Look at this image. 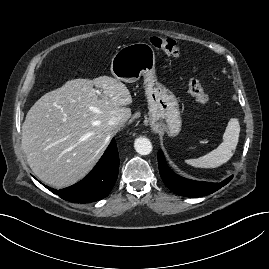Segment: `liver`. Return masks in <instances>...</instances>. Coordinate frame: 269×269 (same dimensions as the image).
I'll return each instance as SVG.
<instances>
[{
  "label": "liver",
  "mask_w": 269,
  "mask_h": 269,
  "mask_svg": "<svg viewBox=\"0 0 269 269\" xmlns=\"http://www.w3.org/2000/svg\"><path fill=\"white\" fill-rule=\"evenodd\" d=\"M131 103L128 88L109 76L69 80L43 95L22 125V148L34 174L55 188L81 180L131 117ZM113 116L123 120L117 128L108 124Z\"/></svg>",
  "instance_id": "liver-1"
}]
</instances>
